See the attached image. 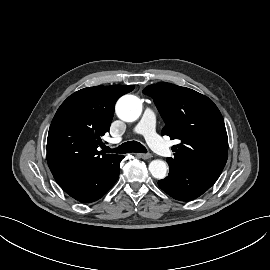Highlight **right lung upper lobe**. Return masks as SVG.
Returning a JSON list of instances; mask_svg holds the SVG:
<instances>
[{
    "mask_svg": "<svg viewBox=\"0 0 270 270\" xmlns=\"http://www.w3.org/2000/svg\"><path fill=\"white\" fill-rule=\"evenodd\" d=\"M133 89V85L87 87L61 104L47 138V162L59 186L98 173L122 156L100 154L97 148L109 131L116 101Z\"/></svg>",
    "mask_w": 270,
    "mask_h": 270,
    "instance_id": "right-lung-upper-lobe-1",
    "label": "right lung upper lobe"
}]
</instances>
